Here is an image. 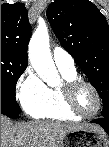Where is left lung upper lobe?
<instances>
[{
  "instance_id": "obj_1",
  "label": "left lung upper lobe",
  "mask_w": 109,
  "mask_h": 147,
  "mask_svg": "<svg viewBox=\"0 0 109 147\" xmlns=\"http://www.w3.org/2000/svg\"><path fill=\"white\" fill-rule=\"evenodd\" d=\"M47 18L63 48L76 60L103 100L109 116V25L89 0H55Z\"/></svg>"
}]
</instances>
